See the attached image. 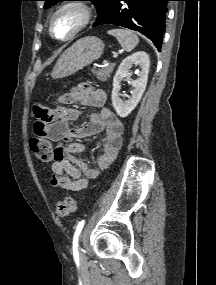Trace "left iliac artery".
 Here are the masks:
<instances>
[{
	"label": "left iliac artery",
	"instance_id": "44dca946",
	"mask_svg": "<svg viewBox=\"0 0 216 285\" xmlns=\"http://www.w3.org/2000/svg\"><path fill=\"white\" fill-rule=\"evenodd\" d=\"M84 223H85V221H84V220H81V221L78 223V225H77V228H76V231H75V234H74V238H73V248H74L75 250H77V248H78V237H79V235H80V233H81V231H82V228H83V226H84Z\"/></svg>",
	"mask_w": 216,
	"mask_h": 285
}]
</instances>
